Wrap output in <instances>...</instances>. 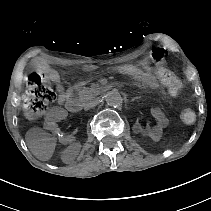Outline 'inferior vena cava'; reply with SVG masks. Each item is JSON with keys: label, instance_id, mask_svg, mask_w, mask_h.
I'll use <instances>...</instances> for the list:
<instances>
[{"label": "inferior vena cava", "instance_id": "1", "mask_svg": "<svg viewBox=\"0 0 211 211\" xmlns=\"http://www.w3.org/2000/svg\"><path fill=\"white\" fill-rule=\"evenodd\" d=\"M94 104L93 103H89L85 106V109H90Z\"/></svg>", "mask_w": 211, "mask_h": 211}]
</instances>
